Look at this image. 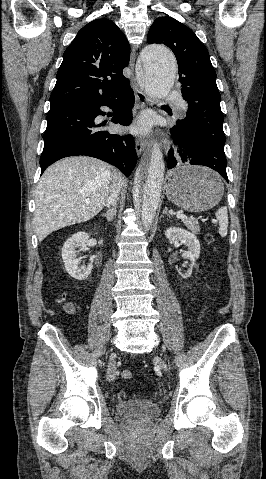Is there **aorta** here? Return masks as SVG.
Masks as SVG:
<instances>
[{"instance_id": "762f6f07", "label": "aorta", "mask_w": 266, "mask_h": 479, "mask_svg": "<svg viewBox=\"0 0 266 479\" xmlns=\"http://www.w3.org/2000/svg\"><path fill=\"white\" fill-rule=\"evenodd\" d=\"M141 77L148 96L154 100L165 98L174 85L176 61L172 52L162 45L146 46L140 58ZM165 163L157 144L154 145L145 169H140L135 183V203L141 201V219L149 228L160 202Z\"/></svg>"}]
</instances>
